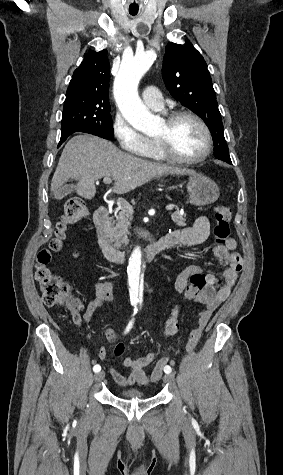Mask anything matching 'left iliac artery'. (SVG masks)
<instances>
[{
  "mask_svg": "<svg viewBox=\"0 0 283 475\" xmlns=\"http://www.w3.org/2000/svg\"><path fill=\"white\" fill-rule=\"evenodd\" d=\"M171 371H172V369H171L170 366L167 365V366L164 367V372H165L166 374L171 373Z\"/></svg>",
  "mask_w": 283,
  "mask_h": 475,
  "instance_id": "obj_1",
  "label": "left iliac artery"
}]
</instances>
